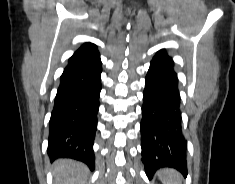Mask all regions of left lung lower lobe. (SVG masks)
Returning a JSON list of instances; mask_svg holds the SVG:
<instances>
[{
	"label": "left lung lower lobe",
	"mask_w": 235,
	"mask_h": 184,
	"mask_svg": "<svg viewBox=\"0 0 235 184\" xmlns=\"http://www.w3.org/2000/svg\"><path fill=\"white\" fill-rule=\"evenodd\" d=\"M180 96L172 58L162 49L146 75L142 107V162L149 178L159 168L171 167L187 176V142L182 135Z\"/></svg>",
	"instance_id": "left-lung-lower-lobe-1"
}]
</instances>
